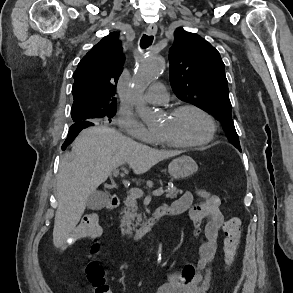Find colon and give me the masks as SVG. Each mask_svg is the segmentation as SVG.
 <instances>
[{
	"mask_svg": "<svg viewBox=\"0 0 293 293\" xmlns=\"http://www.w3.org/2000/svg\"><path fill=\"white\" fill-rule=\"evenodd\" d=\"M241 231L242 223L239 218H230L223 226L225 235L223 253L224 261L227 265H230L236 257L240 244ZM100 235L101 229L98 215L96 213H88L84 215L69 239L73 241L88 240L92 242L91 256L85 267V276L89 284L90 293H110L109 285L105 279L104 269L96 257L100 250V245L97 242Z\"/></svg>",
	"mask_w": 293,
	"mask_h": 293,
	"instance_id": "1",
	"label": "colon"
}]
</instances>
